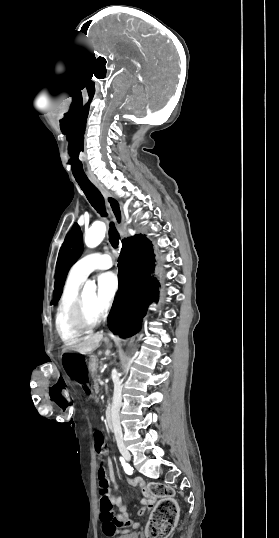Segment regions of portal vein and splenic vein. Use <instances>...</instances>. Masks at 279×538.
Instances as JSON below:
<instances>
[{
  "mask_svg": "<svg viewBox=\"0 0 279 538\" xmlns=\"http://www.w3.org/2000/svg\"><path fill=\"white\" fill-rule=\"evenodd\" d=\"M101 385H105V380H102Z\"/></svg>",
  "mask_w": 279,
  "mask_h": 538,
  "instance_id": "portal-vein-and-splenic-vein-1",
  "label": "portal vein and splenic vein"
}]
</instances>
